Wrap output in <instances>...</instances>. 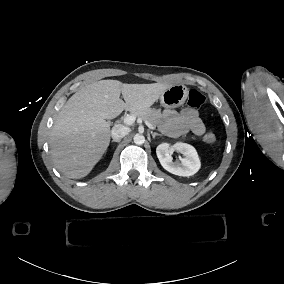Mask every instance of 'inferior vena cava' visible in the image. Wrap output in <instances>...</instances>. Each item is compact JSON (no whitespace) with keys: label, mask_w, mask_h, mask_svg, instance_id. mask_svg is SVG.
<instances>
[{"label":"inferior vena cava","mask_w":284,"mask_h":284,"mask_svg":"<svg viewBox=\"0 0 284 284\" xmlns=\"http://www.w3.org/2000/svg\"><path fill=\"white\" fill-rule=\"evenodd\" d=\"M130 128L117 124L112 128L111 136L114 140H121L124 136L129 134Z\"/></svg>","instance_id":"1"}]
</instances>
